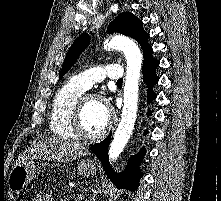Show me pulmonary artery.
Segmentation results:
<instances>
[{
    "instance_id": "e3ab8cb5",
    "label": "pulmonary artery",
    "mask_w": 221,
    "mask_h": 201,
    "mask_svg": "<svg viewBox=\"0 0 221 201\" xmlns=\"http://www.w3.org/2000/svg\"><path fill=\"white\" fill-rule=\"evenodd\" d=\"M123 77V68L118 64H108L80 72L73 77L72 81L84 88L90 89L95 83L105 79L118 81Z\"/></svg>"
}]
</instances>
